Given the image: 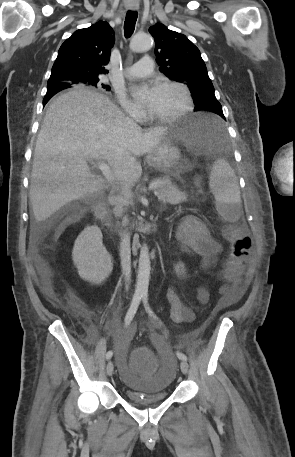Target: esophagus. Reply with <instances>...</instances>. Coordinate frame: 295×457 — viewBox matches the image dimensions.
Here are the masks:
<instances>
[{"label": "esophagus", "mask_w": 295, "mask_h": 457, "mask_svg": "<svg viewBox=\"0 0 295 457\" xmlns=\"http://www.w3.org/2000/svg\"><path fill=\"white\" fill-rule=\"evenodd\" d=\"M129 9L132 10V11H136L138 9V6L137 5H131V6H129Z\"/></svg>", "instance_id": "obj_1"}]
</instances>
